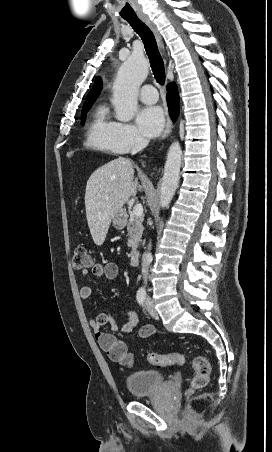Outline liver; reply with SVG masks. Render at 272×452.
Returning a JSON list of instances; mask_svg holds the SVG:
<instances>
[{"mask_svg": "<svg viewBox=\"0 0 272 452\" xmlns=\"http://www.w3.org/2000/svg\"><path fill=\"white\" fill-rule=\"evenodd\" d=\"M138 178L130 160L119 157L95 170L87 181L86 218L96 245L104 243L115 214L137 193Z\"/></svg>", "mask_w": 272, "mask_h": 452, "instance_id": "1", "label": "liver"}]
</instances>
